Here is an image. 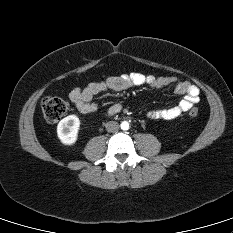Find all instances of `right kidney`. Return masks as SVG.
<instances>
[{
  "label": "right kidney",
  "mask_w": 233,
  "mask_h": 233,
  "mask_svg": "<svg viewBox=\"0 0 233 233\" xmlns=\"http://www.w3.org/2000/svg\"><path fill=\"white\" fill-rule=\"evenodd\" d=\"M80 120L77 115L63 118L57 126V135L64 145H72L77 141Z\"/></svg>",
  "instance_id": "right-kidney-1"
}]
</instances>
